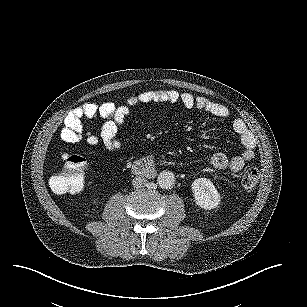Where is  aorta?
Masks as SVG:
<instances>
[{"label":"aorta","instance_id":"aorta-1","mask_svg":"<svg viewBox=\"0 0 307 307\" xmlns=\"http://www.w3.org/2000/svg\"><path fill=\"white\" fill-rule=\"evenodd\" d=\"M175 183V175L170 171H162L157 177V184L162 189H171Z\"/></svg>","mask_w":307,"mask_h":307}]
</instances>
